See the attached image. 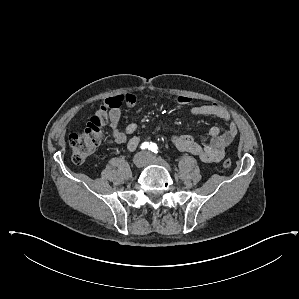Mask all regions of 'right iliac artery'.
<instances>
[{
	"instance_id": "1",
	"label": "right iliac artery",
	"mask_w": 299,
	"mask_h": 299,
	"mask_svg": "<svg viewBox=\"0 0 299 299\" xmlns=\"http://www.w3.org/2000/svg\"><path fill=\"white\" fill-rule=\"evenodd\" d=\"M150 145L148 142H144L141 144V149L142 150H146V149H149Z\"/></svg>"
}]
</instances>
